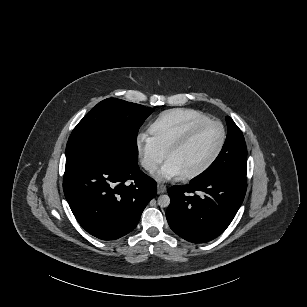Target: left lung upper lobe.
<instances>
[{"label": "left lung upper lobe", "instance_id": "obj_1", "mask_svg": "<svg viewBox=\"0 0 307 307\" xmlns=\"http://www.w3.org/2000/svg\"><path fill=\"white\" fill-rule=\"evenodd\" d=\"M226 122L228 134L220 154L204 172L191 181L226 173L246 176L247 148L243 134L230 117H226Z\"/></svg>", "mask_w": 307, "mask_h": 307}]
</instances>
